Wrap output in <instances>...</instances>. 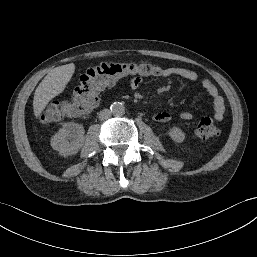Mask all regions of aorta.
<instances>
[{"label":"aorta","mask_w":257,"mask_h":257,"mask_svg":"<svg viewBox=\"0 0 257 257\" xmlns=\"http://www.w3.org/2000/svg\"><path fill=\"white\" fill-rule=\"evenodd\" d=\"M110 109H111V112L117 116L123 115L125 112V107L121 102H114L111 105Z\"/></svg>","instance_id":"aorta-1"}]
</instances>
